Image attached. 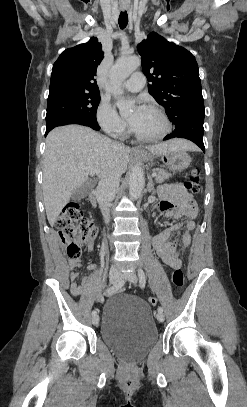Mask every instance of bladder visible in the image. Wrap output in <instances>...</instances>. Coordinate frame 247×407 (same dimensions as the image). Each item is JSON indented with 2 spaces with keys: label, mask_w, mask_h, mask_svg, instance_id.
<instances>
[{
  "label": "bladder",
  "mask_w": 247,
  "mask_h": 407,
  "mask_svg": "<svg viewBox=\"0 0 247 407\" xmlns=\"http://www.w3.org/2000/svg\"><path fill=\"white\" fill-rule=\"evenodd\" d=\"M101 339L127 362L141 361L158 341L150 306L141 298L118 294L102 310Z\"/></svg>",
  "instance_id": "1"
}]
</instances>
